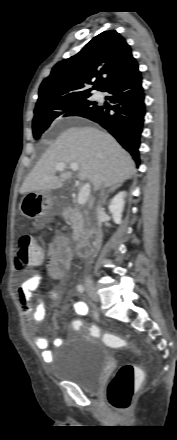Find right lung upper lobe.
I'll use <instances>...</instances> for the list:
<instances>
[{"instance_id":"cb5924a9","label":"right lung upper lobe","mask_w":177,"mask_h":440,"mask_svg":"<svg viewBox=\"0 0 177 440\" xmlns=\"http://www.w3.org/2000/svg\"><path fill=\"white\" fill-rule=\"evenodd\" d=\"M138 66L126 40L115 30L104 31L76 55L58 62L39 88L36 107L65 96L105 91ZM92 84V88L87 85Z\"/></svg>"}]
</instances>
